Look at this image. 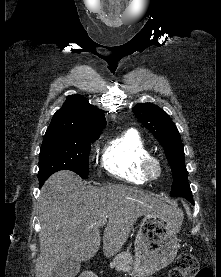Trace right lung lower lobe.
Returning <instances> with one entry per match:
<instances>
[{"instance_id":"right-lung-lower-lobe-1","label":"right lung lower lobe","mask_w":221,"mask_h":277,"mask_svg":"<svg viewBox=\"0 0 221 277\" xmlns=\"http://www.w3.org/2000/svg\"><path fill=\"white\" fill-rule=\"evenodd\" d=\"M44 183V182H43ZM43 183H39L40 184V186H42L43 185Z\"/></svg>"}]
</instances>
